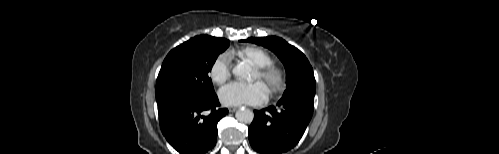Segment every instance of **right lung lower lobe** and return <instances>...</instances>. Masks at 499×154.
<instances>
[{
  "label": "right lung lower lobe",
  "mask_w": 499,
  "mask_h": 154,
  "mask_svg": "<svg viewBox=\"0 0 499 154\" xmlns=\"http://www.w3.org/2000/svg\"><path fill=\"white\" fill-rule=\"evenodd\" d=\"M157 104L161 131L178 152L203 154L215 146L217 123L228 113L218 108L215 92L203 98L171 95Z\"/></svg>",
  "instance_id": "1"
}]
</instances>
